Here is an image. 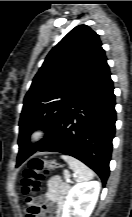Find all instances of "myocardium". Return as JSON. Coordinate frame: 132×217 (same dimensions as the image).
I'll use <instances>...</instances> for the list:
<instances>
[{"mask_svg":"<svg viewBox=\"0 0 132 217\" xmlns=\"http://www.w3.org/2000/svg\"><path fill=\"white\" fill-rule=\"evenodd\" d=\"M44 130L42 128H37L31 132L29 135V141L34 143L39 141L44 136Z\"/></svg>","mask_w":132,"mask_h":217,"instance_id":"obj_1","label":"myocardium"}]
</instances>
